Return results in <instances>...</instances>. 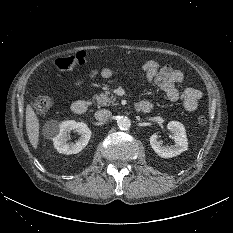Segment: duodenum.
<instances>
[{
    "label": "duodenum",
    "mask_w": 233,
    "mask_h": 233,
    "mask_svg": "<svg viewBox=\"0 0 233 233\" xmlns=\"http://www.w3.org/2000/svg\"><path fill=\"white\" fill-rule=\"evenodd\" d=\"M88 103L85 100H77L72 104V112L76 115H83L86 113ZM134 110L141 113H148L152 110V104L149 102H137L133 105Z\"/></svg>",
    "instance_id": "1"
}]
</instances>
